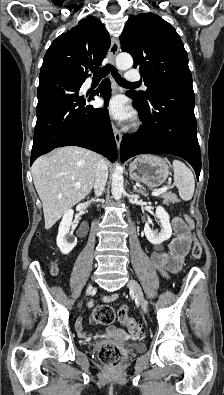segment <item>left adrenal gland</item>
Returning a JSON list of instances; mask_svg holds the SVG:
<instances>
[{"label": "left adrenal gland", "instance_id": "a2214340", "mask_svg": "<svg viewBox=\"0 0 224 395\" xmlns=\"http://www.w3.org/2000/svg\"><path fill=\"white\" fill-rule=\"evenodd\" d=\"M133 191L134 192H137V193H140V194H142V195H144V196H147V194L142 190V189H138L136 186H134L133 185Z\"/></svg>", "mask_w": 224, "mask_h": 395}]
</instances>
